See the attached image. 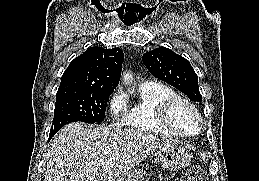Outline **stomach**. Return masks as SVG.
I'll use <instances>...</instances> for the list:
<instances>
[{
  "mask_svg": "<svg viewBox=\"0 0 259 181\" xmlns=\"http://www.w3.org/2000/svg\"><path fill=\"white\" fill-rule=\"evenodd\" d=\"M191 161L190 153L182 146L172 143L165 150L156 153V162L162 167L170 171L184 168ZM143 170L135 169L123 177H119L114 181H138L142 178Z\"/></svg>",
  "mask_w": 259,
  "mask_h": 181,
  "instance_id": "stomach-1",
  "label": "stomach"
}]
</instances>
